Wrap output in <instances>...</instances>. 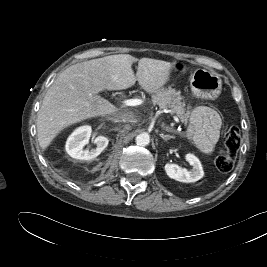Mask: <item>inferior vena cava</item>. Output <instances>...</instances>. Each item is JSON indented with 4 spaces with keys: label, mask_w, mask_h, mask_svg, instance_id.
Listing matches in <instances>:
<instances>
[{
    "label": "inferior vena cava",
    "mask_w": 267,
    "mask_h": 267,
    "mask_svg": "<svg viewBox=\"0 0 267 267\" xmlns=\"http://www.w3.org/2000/svg\"><path fill=\"white\" fill-rule=\"evenodd\" d=\"M114 122L136 123L137 117L132 112H121L112 117Z\"/></svg>",
    "instance_id": "obj_1"
}]
</instances>
